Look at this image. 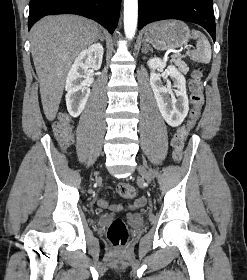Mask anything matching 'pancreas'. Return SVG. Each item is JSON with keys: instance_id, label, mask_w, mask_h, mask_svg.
<instances>
[{"instance_id": "obj_1", "label": "pancreas", "mask_w": 247, "mask_h": 280, "mask_svg": "<svg viewBox=\"0 0 247 280\" xmlns=\"http://www.w3.org/2000/svg\"><path fill=\"white\" fill-rule=\"evenodd\" d=\"M172 62L176 64V66L179 67V70L186 74L189 70V68L187 67L186 63L184 61H182L181 59H172Z\"/></svg>"}]
</instances>
